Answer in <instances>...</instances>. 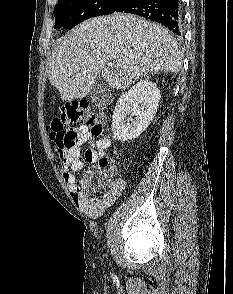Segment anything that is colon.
<instances>
[{"mask_svg": "<svg viewBox=\"0 0 233 294\" xmlns=\"http://www.w3.org/2000/svg\"><path fill=\"white\" fill-rule=\"evenodd\" d=\"M73 125L88 127L94 136L99 135L103 130L101 121L88 109L86 103L71 102L65 104L51 124V139L61 160L66 157L75 143V134L70 129ZM112 174V162L106 156H100L96 161V166L79 181L78 191L84 195H94L103 189H107L112 182Z\"/></svg>", "mask_w": 233, "mask_h": 294, "instance_id": "5ec220e1", "label": "colon"}]
</instances>
